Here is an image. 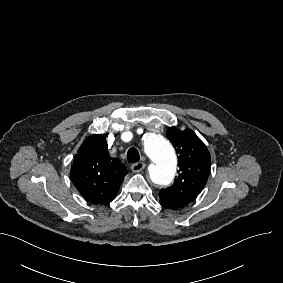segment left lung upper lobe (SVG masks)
Listing matches in <instances>:
<instances>
[{
	"mask_svg": "<svg viewBox=\"0 0 283 283\" xmlns=\"http://www.w3.org/2000/svg\"><path fill=\"white\" fill-rule=\"evenodd\" d=\"M167 137L179 155L180 169L174 184L159 192L160 204L178 209L192 202L204 188L210 173L211 157L206 146L190 129L180 131L171 127Z\"/></svg>",
	"mask_w": 283,
	"mask_h": 283,
	"instance_id": "left-lung-upper-lobe-1",
	"label": "left lung upper lobe"
}]
</instances>
